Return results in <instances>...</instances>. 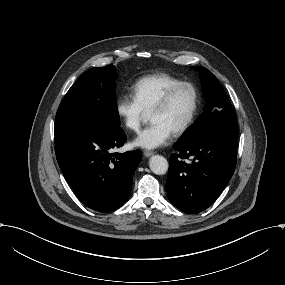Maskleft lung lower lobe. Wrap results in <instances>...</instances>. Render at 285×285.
Segmentation results:
<instances>
[{"label": "left lung lower lobe", "mask_w": 285, "mask_h": 285, "mask_svg": "<svg viewBox=\"0 0 285 285\" xmlns=\"http://www.w3.org/2000/svg\"><path fill=\"white\" fill-rule=\"evenodd\" d=\"M238 124H219L188 143H176L166 182L170 202L186 213L207 209L232 177L237 158ZM192 157V162L183 160Z\"/></svg>", "instance_id": "left-lung-lower-lobe-1"}]
</instances>
